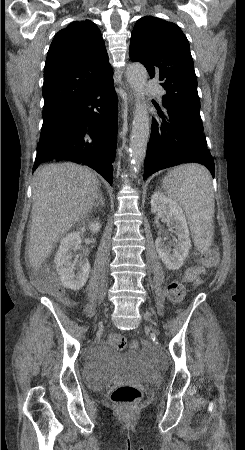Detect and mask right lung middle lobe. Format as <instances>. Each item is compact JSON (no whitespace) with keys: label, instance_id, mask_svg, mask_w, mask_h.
<instances>
[{"label":"right lung middle lobe","instance_id":"obj_1","mask_svg":"<svg viewBox=\"0 0 245 450\" xmlns=\"http://www.w3.org/2000/svg\"><path fill=\"white\" fill-rule=\"evenodd\" d=\"M45 114H47V113H43L42 116H44Z\"/></svg>","mask_w":245,"mask_h":450}]
</instances>
